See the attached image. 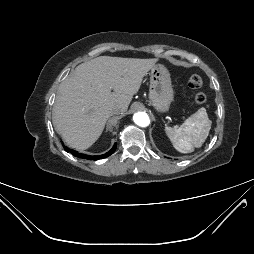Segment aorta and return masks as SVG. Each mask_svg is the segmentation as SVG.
Returning a JSON list of instances; mask_svg holds the SVG:
<instances>
[{
	"mask_svg": "<svg viewBox=\"0 0 254 254\" xmlns=\"http://www.w3.org/2000/svg\"><path fill=\"white\" fill-rule=\"evenodd\" d=\"M134 122L141 127H146L150 123V119L145 112H138L135 113L133 116Z\"/></svg>",
	"mask_w": 254,
	"mask_h": 254,
	"instance_id": "obj_1",
	"label": "aorta"
}]
</instances>
